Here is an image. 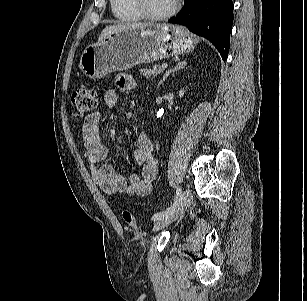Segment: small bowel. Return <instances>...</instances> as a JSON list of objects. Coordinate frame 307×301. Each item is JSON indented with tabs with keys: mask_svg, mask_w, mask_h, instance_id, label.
Instances as JSON below:
<instances>
[{
	"mask_svg": "<svg viewBox=\"0 0 307 301\" xmlns=\"http://www.w3.org/2000/svg\"><path fill=\"white\" fill-rule=\"evenodd\" d=\"M118 89L130 92L139 87L137 80L130 75H120L116 79ZM104 101L112 107L118 100L115 90L110 89L104 94ZM84 141V156L87 159L88 170L93 181L102 191L113 195L126 193L130 196H145L152 189L153 181L158 172L157 160L154 157L153 142L145 133H140L136 147L132 152L134 160L140 165V173H132L127 180L104 161L109 156V148L102 142L100 136V113L93 112L85 118L82 125Z\"/></svg>",
	"mask_w": 307,
	"mask_h": 301,
	"instance_id": "1",
	"label": "small bowel"
}]
</instances>
